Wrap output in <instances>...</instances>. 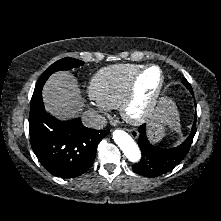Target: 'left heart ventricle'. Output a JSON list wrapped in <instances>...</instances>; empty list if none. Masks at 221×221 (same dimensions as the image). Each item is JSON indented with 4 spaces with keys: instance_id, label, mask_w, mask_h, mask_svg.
I'll list each match as a JSON object with an SVG mask.
<instances>
[{
    "instance_id": "left-heart-ventricle-1",
    "label": "left heart ventricle",
    "mask_w": 221,
    "mask_h": 221,
    "mask_svg": "<svg viewBox=\"0 0 221 221\" xmlns=\"http://www.w3.org/2000/svg\"><path fill=\"white\" fill-rule=\"evenodd\" d=\"M159 82V73L156 69H150L138 82L139 102L137 107L142 108L156 89Z\"/></svg>"
}]
</instances>
